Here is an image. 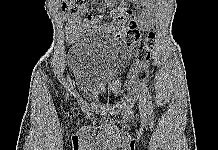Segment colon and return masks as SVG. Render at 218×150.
I'll use <instances>...</instances> for the list:
<instances>
[{
    "mask_svg": "<svg viewBox=\"0 0 218 150\" xmlns=\"http://www.w3.org/2000/svg\"><path fill=\"white\" fill-rule=\"evenodd\" d=\"M85 0H66L63 4L65 10L73 12L77 6L81 5ZM156 34L154 31L150 32L145 38L140 36L138 30H131L127 36V42L133 49L137 59L144 63L150 58V54L155 46Z\"/></svg>",
    "mask_w": 218,
    "mask_h": 150,
    "instance_id": "1",
    "label": "colon"
}]
</instances>
